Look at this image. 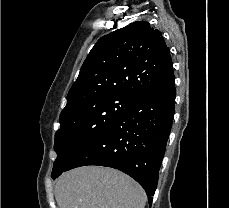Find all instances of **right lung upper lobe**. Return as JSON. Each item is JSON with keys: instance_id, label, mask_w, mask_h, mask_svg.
Segmentation results:
<instances>
[{"instance_id": "obj_1", "label": "right lung upper lobe", "mask_w": 229, "mask_h": 208, "mask_svg": "<svg viewBox=\"0 0 229 208\" xmlns=\"http://www.w3.org/2000/svg\"><path fill=\"white\" fill-rule=\"evenodd\" d=\"M174 78L170 51L162 34L136 21L101 37L85 59L60 114L107 95L138 100Z\"/></svg>"}]
</instances>
